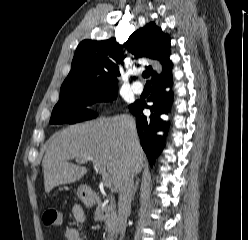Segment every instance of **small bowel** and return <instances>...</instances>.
<instances>
[{"instance_id":"small-bowel-1","label":"small bowel","mask_w":248,"mask_h":240,"mask_svg":"<svg viewBox=\"0 0 248 240\" xmlns=\"http://www.w3.org/2000/svg\"><path fill=\"white\" fill-rule=\"evenodd\" d=\"M72 212L76 220L80 222L85 220V214L80 205H74ZM64 238L65 240H83L76 228H67L64 232Z\"/></svg>"}]
</instances>
